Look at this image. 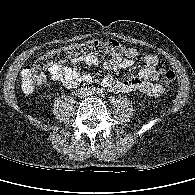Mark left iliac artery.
Wrapping results in <instances>:
<instances>
[{
    "instance_id": "obj_1",
    "label": "left iliac artery",
    "mask_w": 195,
    "mask_h": 195,
    "mask_svg": "<svg viewBox=\"0 0 195 195\" xmlns=\"http://www.w3.org/2000/svg\"><path fill=\"white\" fill-rule=\"evenodd\" d=\"M97 93H98L99 95H101V94H102V90H101V89H98V90H97Z\"/></svg>"
}]
</instances>
